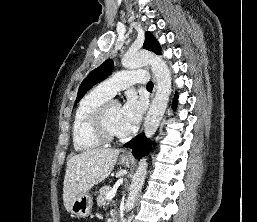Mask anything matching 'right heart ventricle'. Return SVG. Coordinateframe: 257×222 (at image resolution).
Segmentation results:
<instances>
[{
	"label": "right heart ventricle",
	"instance_id": "e07e8e85",
	"mask_svg": "<svg viewBox=\"0 0 257 222\" xmlns=\"http://www.w3.org/2000/svg\"><path fill=\"white\" fill-rule=\"evenodd\" d=\"M110 98L111 96L95 88L79 102L72 123V141L76 150H92L102 144L93 133L91 119L96 109Z\"/></svg>",
	"mask_w": 257,
	"mask_h": 222
}]
</instances>
